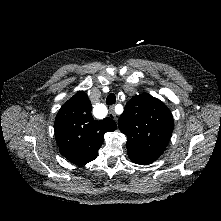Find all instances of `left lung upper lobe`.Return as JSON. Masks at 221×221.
Returning a JSON list of instances; mask_svg holds the SVG:
<instances>
[{
	"label": "left lung upper lobe",
	"mask_w": 221,
	"mask_h": 221,
	"mask_svg": "<svg viewBox=\"0 0 221 221\" xmlns=\"http://www.w3.org/2000/svg\"><path fill=\"white\" fill-rule=\"evenodd\" d=\"M173 125L166 105L148 93L131 98L118 121L120 131L127 136L128 156L140 165L151 164L164 152Z\"/></svg>",
	"instance_id": "obj_1"
}]
</instances>
